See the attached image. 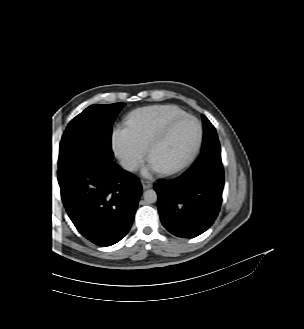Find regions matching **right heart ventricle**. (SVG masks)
Wrapping results in <instances>:
<instances>
[{
  "instance_id": "right-heart-ventricle-1",
  "label": "right heart ventricle",
  "mask_w": 304,
  "mask_h": 329,
  "mask_svg": "<svg viewBox=\"0 0 304 329\" xmlns=\"http://www.w3.org/2000/svg\"><path fill=\"white\" fill-rule=\"evenodd\" d=\"M186 114L176 105H155L145 107L130 115L126 122V130L135 144L142 150L165 125L173 118Z\"/></svg>"
}]
</instances>
